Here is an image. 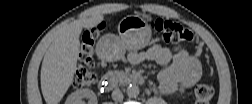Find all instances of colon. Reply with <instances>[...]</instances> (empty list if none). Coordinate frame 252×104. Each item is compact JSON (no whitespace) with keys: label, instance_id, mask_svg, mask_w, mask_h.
Instances as JSON below:
<instances>
[{"label":"colon","instance_id":"colon-1","mask_svg":"<svg viewBox=\"0 0 252 104\" xmlns=\"http://www.w3.org/2000/svg\"><path fill=\"white\" fill-rule=\"evenodd\" d=\"M151 28L166 43L191 41L193 33L176 20L158 18L151 22ZM103 30L97 26L86 30L81 39L80 63L74 75L73 85L77 89L89 86L95 81L93 46L95 40ZM213 88L205 83L199 84L195 89V99L200 104H207L213 97Z\"/></svg>","mask_w":252,"mask_h":104}]
</instances>
